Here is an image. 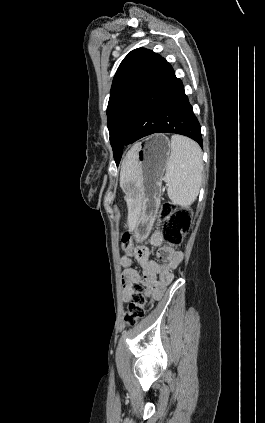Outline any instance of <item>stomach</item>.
<instances>
[{"label":"stomach","mask_w":265,"mask_h":423,"mask_svg":"<svg viewBox=\"0 0 265 423\" xmlns=\"http://www.w3.org/2000/svg\"><path fill=\"white\" fill-rule=\"evenodd\" d=\"M170 153V141L163 134L151 135L136 145L140 181L135 183V188L142 201L140 216L135 226V238L138 241L145 238L156 220L163 174Z\"/></svg>","instance_id":"obj_1"}]
</instances>
